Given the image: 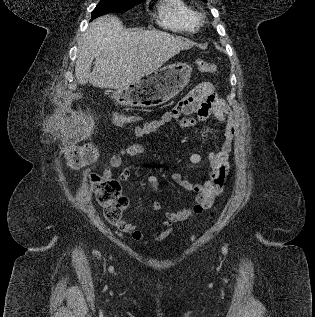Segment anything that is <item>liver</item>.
Returning <instances> with one entry per match:
<instances>
[{"mask_svg":"<svg viewBox=\"0 0 315 317\" xmlns=\"http://www.w3.org/2000/svg\"><path fill=\"white\" fill-rule=\"evenodd\" d=\"M193 45L162 31L127 30L116 16L105 15L90 24L79 44L75 76L81 85L124 88Z\"/></svg>","mask_w":315,"mask_h":317,"instance_id":"1","label":"liver"}]
</instances>
